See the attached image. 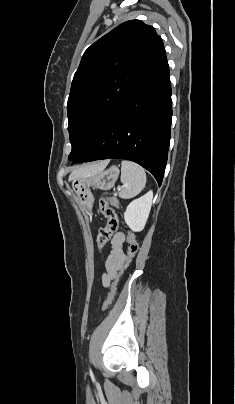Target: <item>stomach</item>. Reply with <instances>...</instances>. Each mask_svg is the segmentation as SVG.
<instances>
[{
  "instance_id": "0dacf381",
  "label": "stomach",
  "mask_w": 235,
  "mask_h": 404,
  "mask_svg": "<svg viewBox=\"0 0 235 404\" xmlns=\"http://www.w3.org/2000/svg\"><path fill=\"white\" fill-rule=\"evenodd\" d=\"M119 176V169L112 165L86 178L72 180V189L77 196L80 206L84 211H90L94 202L91 187L101 190H109L113 187Z\"/></svg>"
}]
</instances>
